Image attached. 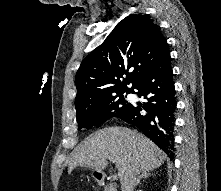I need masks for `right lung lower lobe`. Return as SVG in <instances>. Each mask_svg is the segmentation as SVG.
<instances>
[{
  "label": "right lung lower lobe",
  "mask_w": 221,
  "mask_h": 191,
  "mask_svg": "<svg viewBox=\"0 0 221 191\" xmlns=\"http://www.w3.org/2000/svg\"><path fill=\"white\" fill-rule=\"evenodd\" d=\"M170 53H166L136 84L144 104H132L123 121L138 127L171 158L174 150L176 100ZM145 111L146 113H143Z\"/></svg>",
  "instance_id": "98d812e1"
}]
</instances>
